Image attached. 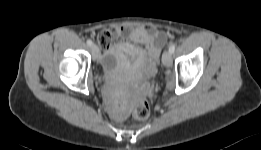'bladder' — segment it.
<instances>
[{
    "instance_id": "bladder-1",
    "label": "bladder",
    "mask_w": 261,
    "mask_h": 150,
    "mask_svg": "<svg viewBox=\"0 0 261 150\" xmlns=\"http://www.w3.org/2000/svg\"><path fill=\"white\" fill-rule=\"evenodd\" d=\"M121 46H116L111 48L106 52L102 58V66L105 71H113L119 67L120 64V54L122 51Z\"/></svg>"
}]
</instances>
